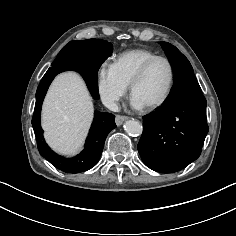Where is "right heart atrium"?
<instances>
[{
    "label": "right heart atrium",
    "instance_id": "right-heart-atrium-1",
    "mask_svg": "<svg viewBox=\"0 0 236 236\" xmlns=\"http://www.w3.org/2000/svg\"><path fill=\"white\" fill-rule=\"evenodd\" d=\"M96 86L102 101L114 107L128 91V86L119 78L112 65L103 64L96 75Z\"/></svg>",
    "mask_w": 236,
    "mask_h": 236
}]
</instances>
